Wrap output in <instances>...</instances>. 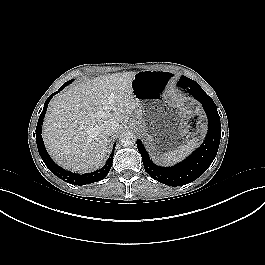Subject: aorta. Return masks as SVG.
I'll use <instances>...</instances> for the list:
<instances>
[{
    "instance_id": "762f6f07",
    "label": "aorta",
    "mask_w": 265,
    "mask_h": 265,
    "mask_svg": "<svg viewBox=\"0 0 265 265\" xmlns=\"http://www.w3.org/2000/svg\"><path fill=\"white\" fill-rule=\"evenodd\" d=\"M119 142L123 147H131L135 144L136 138L131 132H125L120 135Z\"/></svg>"
}]
</instances>
